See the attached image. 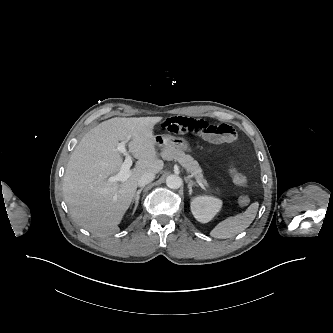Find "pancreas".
I'll list each match as a JSON object with an SVG mask.
<instances>
[{
    "instance_id": "obj_1",
    "label": "pancreas",
    "mask_w": 333,
    "mask_h": 333,
    "mask_svg": "<svg viewBox=\"0 0 333 333\" xmlns=\"http://www.w3.org/2000/svg\"><path fill=\"white\" fill-rule=\"evenodd\" d=\"M161 156L163 159L168 161H178L188 173H191L197 180L208 186L207 181L203 178L202 169L200 168L198 162L190 155H186L182 150L171 146L163 149Z\"/></svg>"
}]
</instances>
